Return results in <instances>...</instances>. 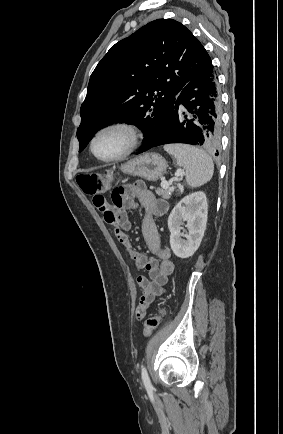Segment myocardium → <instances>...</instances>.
<instances>
[{"mask_svg":"<svg viewBox=\"0 0 283 434\" xmlns=\"http://www.w3.org/2000/svg\"><path fill=\"white\" fill-rule=\"evenodd\" d=\"M111 130L121 131L125 135L126 147L118 155H115L112 157H101L95 152V149H94L95 142L100 135H102L103 133H105L107 131H111ZM141 139H142V133L136 124H134L130 121L118 120V121L109 122V123L101 126L100 128H98L94 132V134L92 135V137L90 139L89 149H90V152L92 153V155L97 160H99L101 162H106V163L116 162V161L124 159L125 157L130 155L132 152H134L137 149V147L139 146Z\"/></svg>","mask_w":283,"mask_h":434,"instance_id":"f54148a6","label":"myocardium"}]
</instances>
